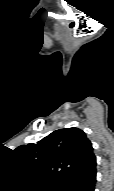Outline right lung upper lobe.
Returning a JSON list of instances; mask_svg holds the SVG:
<instances>
[{"label":"right lung upper lobe","instance_id":"right-lung-upper-lobe-1","mask_svg":"<svg viewBox=\"0 0 114 191\" xmlns=\"http://www.w3.org/2000/svg\"><path fill=\"white\" fill-rule=\"evenodd\" d=\"M34 177L52 189L96 169L90 140L78 128L56 130L38 141L15 149Z\"/></svg>","mask_w":114,"mask_h":191}]
</instances>
